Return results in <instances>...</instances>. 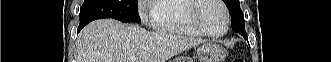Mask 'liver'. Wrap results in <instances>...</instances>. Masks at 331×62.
<instances>
[{"mask_svg":"<svg viewBox=\"0 0 331 62\" xmlns=\"http://www.w3.org/2000/svg\"><path fill=\"white\" fill-rule=\"evenodd\" d=\"M201 42L165 31L149 32L138 25L102 19L88 24L79 34L76 44L78 62H166Z\"/></svg>","mask_w":331,"mask_h":62,"instance_id":"1","label":"liver"}]
</instances>
